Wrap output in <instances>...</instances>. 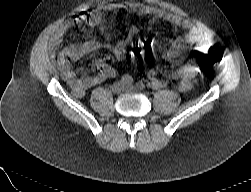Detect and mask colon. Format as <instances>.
<instances>
[{
  "label": "colon",
  "instance_id": "5ec220e1",
  "mask_svg": "<svg viewBox=\"0 0 251 192\" xmlns=\"http://www.w3.org/2000/svg\"><path fill=\"white\" fill-rule=\"evenodd\" d=\"M127 54L131 58H143L149 54V43L147 41L138 40L130 45ZM220 61L221 57L217 52L209 53L200 59L199 67L203 71H211Z\"/></svg>",
  "mask_w": 251,
  "mask_h": 192
}]
</instances>
